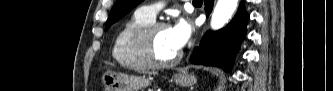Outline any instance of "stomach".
Returning a JSON list of instances; mask_svg holds the SVG:
<instances>
[{
  "label": "stomach",
  "mask_w": 333,
  "mask_h": 91,
  "mask_svg": "<svg viewBox=\"0 0 333 91\" xmlns=\"http://www.w3.org/2000/svg\"><path fill=\"white\" fill-rule=\"evenodd\" d=\"M178 86L187 87L196 83V77L192 74H178L174 78ZM151 79L133 76L113 71H106L102 76L105 91H144Z\"/></svg>",
  "instance_id": "0dacf381"
}]
</instances>
